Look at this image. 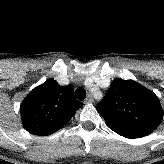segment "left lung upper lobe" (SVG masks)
Here are the masks:
<instances>
[{"label": "left lung upper lobe", "instance_id": "1", "mask_svg": "<svg viewBox=\"0 0 164 164\" xmlns=\"http://www.w3.org/2000/svg\"><path fill=\"white\" fill-rule=\"evenodd\" d=\"M97 111L112 130L147 136L163 119L161 104L151 90L133 80L112 81Z\"/></svg>", "mask_w": 164, "mask_h": 164}]
</instances>
